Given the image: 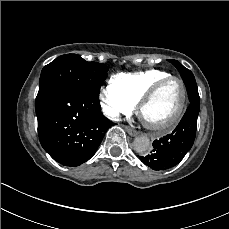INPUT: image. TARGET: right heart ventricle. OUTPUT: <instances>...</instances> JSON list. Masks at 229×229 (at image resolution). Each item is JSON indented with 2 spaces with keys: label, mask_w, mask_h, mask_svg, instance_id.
<instances>
[{
  "label": "right heart ventricle",
  "mask_w": 229,
  "mask_h": 229,
  "mask_svg": "<svg viewBox=\"0 0 229 229\" xmlns=\"http://www.w3.org/2000/svg\"><path fill=\"white\" fill-rule=\"evenodd\" d=\"M171 73L161 69H147L143 71L121 72L114 76L113 82L124 92L138 102L142 98V94L158 80L170 76Z\"/></svg>",
  "instance_id": "e07e8e85"
}]
</instances>
